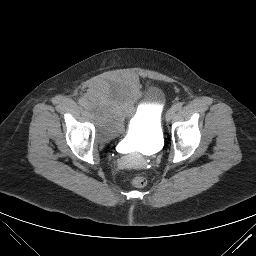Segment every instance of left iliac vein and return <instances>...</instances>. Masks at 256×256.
Returning a JSON list of instances; mask_svg holds the SVG:
<instances>
[{
	"mask_svg": "<svg viewBox=\"0 0 256 256\" xmlns=\"http://www.w3.org/2000/svg\"><path fill=\"white\" fill-rule=\"evenodd\" d=\"M174 115H175V110H174V108H170V109L167 111L166 116H165L166 121L169 122V121L174 117Z\"/></svg>",
	"mask_w": 256,
	"mask_h": 256,
	"instance_id": "4c4485c4",
	"label": "left iliac vein"
}]
</instances>
